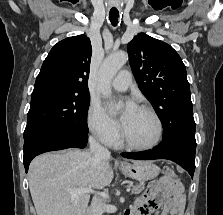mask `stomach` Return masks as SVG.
I'll return each instance as SVG.
<instances>
[{"label":"stomach","mask_w":223,"mask_h":215,"mask_svg":"<svg viewBox=\"0 0 223 215\" xmlns=\"http://www.w3.org/2000/svg\"><path fill=\"white\" fill-rule=\"evenodd\" d=\"M122 173L126 177H132V179H154L159 173V167L153 163V161H137V163H127L126 165H120Z\"/></svg>","instance_id":"stomach-1"}]
</instances>
